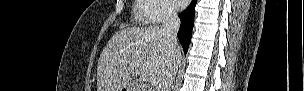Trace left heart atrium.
I'll return each instance as SVG.
<instances>
[{
  "label": "left heart atrium",
  "instance_id": "1",
  "mask_svg": "<svg viewBox=\"0 0 304 91\" xmlns=\"http://www.w3.org/2000/svg\"><path fill=\"white\" fill-rule=\"evenodd\" d=\"M173 4L176 8L182 9V8L186 7L187 1L186 0H174Z\"/></svg>",
  "mask_w": 304,
  "mask_h": 91
}]
</instances>
